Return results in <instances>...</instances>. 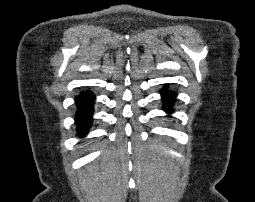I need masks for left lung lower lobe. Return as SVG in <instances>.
I'll return each mask as SVG.
<instances>
[{
    "label": "left lung lower lobe",
    "mask_w": 255,
    "mask_h": 202,
    "mask_svg": "<svg viewBox=\"0 0 255 202\" xmlns=\"http://www.w3.org/2000/svg\"><path fill=\"white\" fill-rule=\"evenodd\" d=\"M175 96L176 94L172 91H168L167 89H163L161 91V99L163 101V106L164 107H167V106H171L173 105L174 101H175ZM165 110V109H164ZM166 111V110H165ZM167 111L169 113H172L173 112V109L171 107L167 108Z\"/></svg>",
    "instance_id": "obj_1"
}]
</instances>
